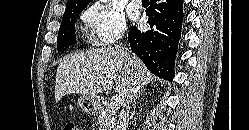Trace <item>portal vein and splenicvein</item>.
I'll return each mask as SVG.
<instances>
[{
    "instance_id": "portal-vein-and-splenic-vein-1",
    "label": "portal vein and splenic vein",
    "mask_w": 249,
    "mask_h": 130,
    "mask_svg": "<svg viewBox=\"0 0 249 130\" xmlns=\"http://www.w3.org/2000/svg\"><path fill=\"white\" fill-rule=\"evenodd\" d=\"M120 106V98L118 96L113 97L110 102V107L112 111H116Z\"/></svg>"
}]
</instances>
